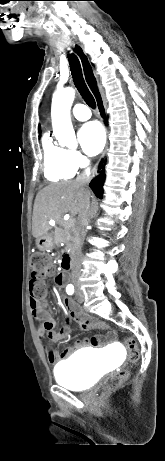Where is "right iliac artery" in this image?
<instances>
[{"instance_id":"1","label":"right iliac artery","mask_w":165,"mask_h":461,"mask_svg":"<svg viewBox=\"0 0 165 461\" xmlns=\"http://www.w3.org/2000/svg\"><path fill=\"white\" fill-rule=\"evenodd\" d=\"M66 292H67L69 295H72L73 292H74V287H73V285H68L67 288H66Z\"/></svg>"}]
</instances>
